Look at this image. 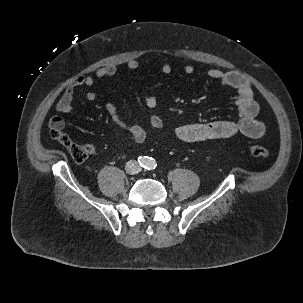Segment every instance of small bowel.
<instances>
[{
	"instance_id": "small-bowel-1",
	"label": "small bowel",
	"mask_w": 303,
	"mask_h": 303,
	"mask_svg": "<svg viewBox=\"0 0 303 303\" xmlns=\"http://www.w3.org/2000/svg\"><path fill=\"white\" fill-rule=\"evenodd\" d=\"M126 67L129 70H135L139 67V63L131 59L126 63ZM116 72L117 67L114 64H109L99 68L95 72V75L77 77L66 87L55 106L56 111L61 114L70 113L76 88L91 87L97 80L111 77ZM170 72L171 66L168 63H164L161 67V73L169 74ZM184 72L190 75L194 72V67L186 65ZM206 75L235 92V104L239 113V119L237 121L218 120L180 125L174 129L176 137L185 142L228 138L236 134H242L253 139L260 138L265 132V126L257 119L259 106L254 100L251 84L237 72L210 69L206 72ZM86 98L89 101H94L97 98V94L95 91H89L86 94ZM145 103L148 108H154L157 104L156 96L153 94L148 95L145 98ZM105 109L113 123L126 130L135 143H142L146 139L147 131L139 125L124 120L113 103L107 102ZM50 125L63 129L65 121L61 116H54L50 120ZM148 125L153 131L159 130L163 126V120L158 115H151L148 119ZM85 150L90 155L95 153L93 144H85Z\"/></svg>"
}]
</instances>
